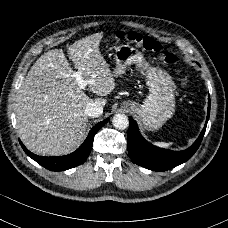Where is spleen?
I'll use <instances>...</instances> for the list:
<instances>
[{
    "instance_id": "1",
    "label": "spleen",
    "mask_w": 228,
    "mask_h": 228,
    "mask_svg": "<svg viewBox=\"0 0 228 228\" xmlns=\"http://www.w3.org/2000/svg\"><path fill=\"white\" fill-rule=\"evenodd\" d=\"M172 142L165 143V142H155L154 145L162 147V148H168L172 145Z\"/></svg>"
}]
</instances>
